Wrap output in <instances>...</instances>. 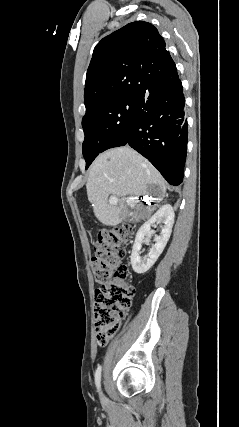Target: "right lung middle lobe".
Segmentation results:
<instances>
[{"instance_id": "1", "label": "right lung middle lobe", "mask_w": 239, "mask_h": 427, "mask_svg": "<svg viewBox=\"0 0 239 427\" xmlns=\"http://www.w3.org/2000/svg\"><path fill=\"white\" fill-rule=\"evenodd\" d=\"M135 103L136 97H124L101 101L86 109L82 119L86 169L99 153L128 139Z\"/></svg>"}]
</instances>
